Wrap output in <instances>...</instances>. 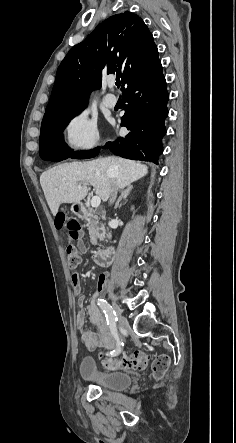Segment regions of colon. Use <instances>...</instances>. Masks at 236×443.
Masks as SVG:
<instances>
[{
	"instance_id": "5ec220e1",
	"label": "colon",
	"mask_w": 236,
	"mask_h": 443,
	"mask_svg": "<svg viewBox=\"0 0 236 443\" xmlns=\"http://www.w3.org/2000/svg\"><path fill=\"white\" fill-rule=\"evenodd\" d=\"M58 223L60 226H65L68 238L70 240H77L80 235L81 225L76 220L67 221L66 216L61 214L58 217ZM66 257L71 267L77 266L81 262V254L73 245H69L66 248ZM73 279L76 276L73 275ZM147 355L144 352L136 351L131 354H123L117 357H102V364L108 369H135L143 370L147 366ZM169 360L165 356L158 357L153 362V373L156 378H161L165 374L168 368Z\"/></svg>"
}]
</instances>
